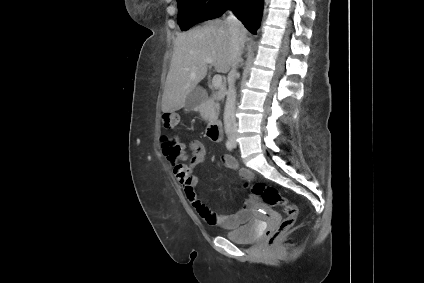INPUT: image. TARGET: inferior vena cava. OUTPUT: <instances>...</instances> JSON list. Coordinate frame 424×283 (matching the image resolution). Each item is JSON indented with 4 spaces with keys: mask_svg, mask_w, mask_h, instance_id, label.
<instances>
[{
    "mask_svg": "<svg viewBox=\"0 0 424 283\" xmlns=\"http://www.w3.org/2000/svg\"><path fill=\"white\" fill-rule=\"evenodd\" d=\"M231 34V46H232V69L228 74V92L227 99L224 108V128L227 135L237 131V123L235 118V101H236V90H235V79H236V68L240 62L242 50L244 48L246 34L245 28L240 20L230 12L226 19Z\"/></svg>",
    "mask_w": 424,
    "mask_h": 283,
    "instance_id": "obj_1",
    "label": "inferior vena cava"
}]
</instances>
